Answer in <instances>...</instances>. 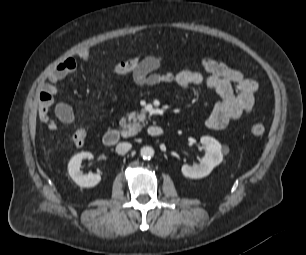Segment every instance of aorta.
Masks as SVG:
<instances>
[{
    "mask_svg": "<svg viewBox=\"0 0 306 255\" xmlns=\"http://www.w3.org/2000/svg\"><path fill=\"white\" fill-rule=\"evenodd\" d=\"M140 155L143 159L150 160L154 156V149L149 146H144L140 150Z\"/></svg>",
    "mask_w": 306,
    "mask_h": 255,
    "instance_id": "obj_1",
    "label": "aorta"
}]
</instances>
